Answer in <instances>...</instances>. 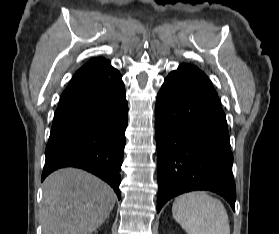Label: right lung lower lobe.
<instances>
[{
	"label": "right lung lower lobe",
	"mask_w": 279,
	"mask_h": 234,
	"mask_svg": "<svg viewBox=\"0 0 279 234\" xmlns=\"http://www.w3.org/2000/svg\"><path fill=\"white\" fill-rule=\"evenodd\" d=\"M121 77L109 62L70 81L54 114L41 181L56 169L78 167L106 181L120 199L128 122Z\"/></svg>",
	"instance_id": "right-lung-lower-lobe-1"
}]
</instances>
